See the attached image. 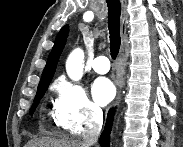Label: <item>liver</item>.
<instances>
[{"label":"liver","instance_id":"obj_1","mask_svg":"<svg viewBox=\"0 0 183 147\" xmlns=\"http://www.w3.org/2000/svg\"><path fill=\"white\" fill-rule=\"evenodd\" d=\"M26 147H86L83 142L68 139L39 138L31 140Z\"/></svg>","mask_w":183,"mask_h":147}]
</instances>
